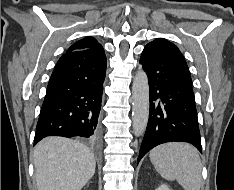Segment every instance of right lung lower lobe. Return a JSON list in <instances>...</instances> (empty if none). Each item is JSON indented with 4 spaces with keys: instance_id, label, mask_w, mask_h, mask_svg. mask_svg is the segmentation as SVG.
Listing matches in <instances>:
<instances>
[{
    "instance_id": "obj_1",
    "label": "right lung lower lobe",
    "mask_w": 234,
    "mask_h": 190,
    "mask_svg": "<svg viewBox=\"0 0 234 190\" xmlns=\"http://www.w3.org/2000/svg\"><path fill=\"white\" fill-rule=\"evenodd\" d=\"M106 64L103 48L74 51L59 59L47 86L34 144L47 136L98 139Z\"/></svg>"
}]
</instances>
